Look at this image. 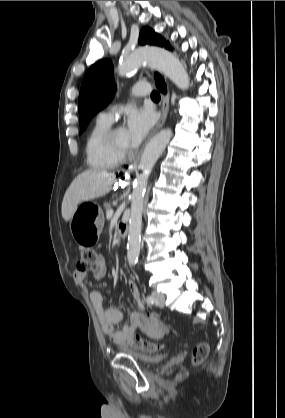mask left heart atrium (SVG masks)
<instances>
[{"label":"left heart atrium","mask_w":285,"mask_h":418,"mask_svg":"<svg viewBox=\"0 0 285 418\" xmlns=\"http://www.w3.org/2000/svg\"><path fill=\"white\" fill-rule=\"evenodd\" d=\"M154 115L149 109L132 108L126 117L128 143L136 146L142 142L154 125Z\"/></svg>","instance_id":"39dd6f15"}]
</instances>
